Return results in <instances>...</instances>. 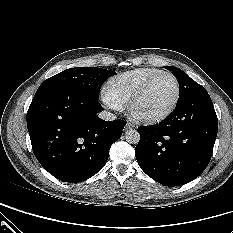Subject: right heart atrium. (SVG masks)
<instances>
[{
  "label": "right heart atrium",
  "mask_w": 233,
  "mask_h": 233,
  "mask_svg": "<svg viewBox=\"0 0 233 233\" xmlns=\"http://www.w3.org/2000/svg\"><path fill=\"white\" fill-rule=\"evenodd\" d=\"M101 99L103 103L113 109V110H120L122 108V105L117 102L106 89H103L101 92Z\"/></svg>",
  "instance_id": "obj_1"
}]
</instances>
